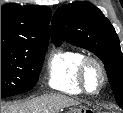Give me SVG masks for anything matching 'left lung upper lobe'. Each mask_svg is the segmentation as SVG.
Listing matches in <instances>:
<instances>
[{"mask_svg":"<svg viewBox=\"0 0 123 113\" xmlns=\"http://www.w3.org/2000/svg\"><path fill=\"white\" fill-rule=\"evenodd\" d=\"M51 28L56 46L64 39L103 61L115 99L123 109V55L119 38L103 13L89 2L66 4L54 13Z\"/></svg>","mask_w":123,"mask_h":113,"instance_id":"left-lung-upper-lobe-1","label":"left lung upper lobe"}]
</instances>
